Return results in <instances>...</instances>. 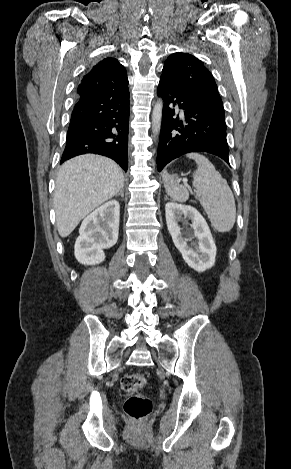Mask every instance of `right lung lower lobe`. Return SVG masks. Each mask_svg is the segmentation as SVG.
Returning a JSON list of instances; mask_svg holds the SVG:
<instances>
[{
	"label": "right lung lower lobe",
	"mask_w": 291,
	"mask_h": 469,
	"mask_svg": "<svg viewBox=\"0 0 291 469\" xmlns=\"http://www.w3.org/2000/svg\"><path fill=\"white\" fill-rule=\"evenodd\" d=\"M129 91L102 90L77 100L61 163L86 153L112 158L128 168Z\"/></svg>",
	"instance_id": "1"
}]
</instances>
